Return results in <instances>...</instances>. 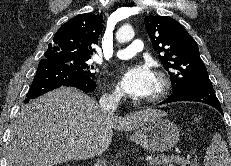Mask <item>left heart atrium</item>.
Returning a JSON list of instances; mask_svg holds the SVG:
<instances>
[{
	"instance_id": "obj_1",
	"label": "left heart atrium",
	"mask_w": 231,
	"mask_h": 166,
	"mask_svg": "<svg viewBox=\"0 0 231 166\" xmlns=\"http://www.w3.org/2000/svg\"><path fill=\"white\" fill-rule=\"evenodd\" d=\"M155 75L147 65L126 69L120 77L122 90L132 97H146L152 92Z\"/></svg>"
}]
</instances>
